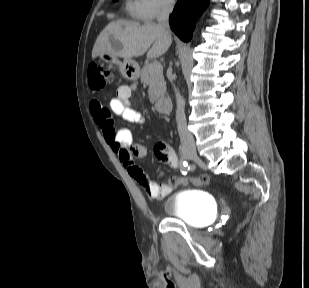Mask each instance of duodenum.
Masks as SVG:
<instances>
[{"mask_svg":"<svg viewBox=\"0 0 309 288\" xmlns=\"http://www.w3.org/2000/svg\"><path fill=\"white\" fill-rule=\"evenodd\" d=\"M157 107L161 113H169L171 110V102L168 98H161L157 101Z\"/></svg>","mask_w":309,"mask_h":288,"instance_id":"410a0bca","label":"duodenum"}]
</instances>
